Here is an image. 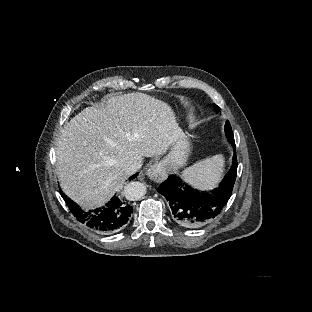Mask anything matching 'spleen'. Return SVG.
<instances>
[{"label": "spleen", "instance_id": "obj_1", "mask_svg": "<svg viewBox=\"0 0 312 312\" xmlns=\"http://www.w3.org/2000/svg\"><path fill=\"white\" fill-rule=\"evenodd\" d=\"M224 163L222 154L214 155L183 170L181 178L195 189L212 190L221 181Z\"/></svg>", "mask_w": 312, "mask_h": 312}]
</instances>
